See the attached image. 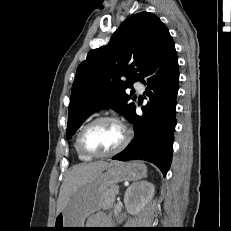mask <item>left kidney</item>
<instances>
[{
	"mask_svg": "<svg viewBox=\"0 0 231 231\" xmlns=\"http://www.w3.org/2000/svg\"><path fill=\"white\" fill-rule=\"evenodd\" d=\"M155 193L153 184L147 181L135 183L129 186L124 195V203L127 211L138 214L152 200Z\"/></svg>",
	"mask_w": 231,
	"mask_h": 231,
	"instance_id": "obj_1",
	"label": "left kidney"
}]
</instances>
